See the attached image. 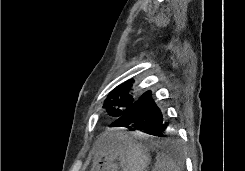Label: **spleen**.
<instances>
[{
	"label": "spleen",
	"instance_id": "3e777b00",
	"mask_svg": "<svg viewBox=\"0 0 245 171\" xmlns=\"http://www.w3.org/2000/svg\"><path fill=\"white\" fill-rule=\"evenodd\" d=\"M152 171H181L176 162L167 154L159 153Z\"/></svg>",
	"mask_w": 245,
	"mask_h": 171
}]
</instances>
